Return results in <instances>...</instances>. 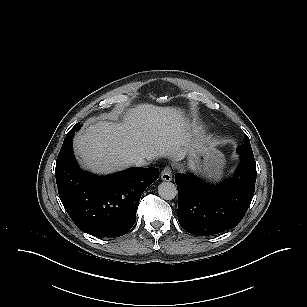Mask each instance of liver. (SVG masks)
Here are the masks:
<instances>
[{
	"label": "liver",
	"instance_id": "1",
	"mask_svg": "<svg viewBox=\"0 0 307 307\" xmlns=\"http://www.w3.org/2000/svg\"><path fill=\"white\" fill-rule=\"evenodd\" d=\"M184 111L139 104L118 122L97 121L74 139L83 167L109 174L134 165L138 159L170 157L180 160L191 143Z\"/></svg>",
	"mask_w": 307,
	"mask_h": 307
}]
</instances>
